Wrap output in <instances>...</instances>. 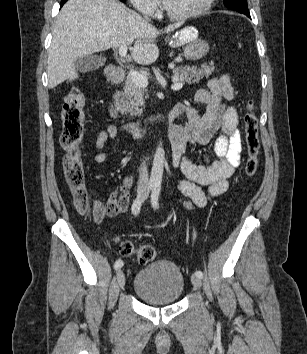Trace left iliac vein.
Returning a JSON list of instances; mask_svg holds the SVG:
<instances>
[{
	"label": "left iliac vein",
	"mask_w": 307,
	"mask_h": 354,
	"mask_svg": "<svg viewBox=\"0 0 307 354\" xmlns=\"http://www.w3.org/2000/svg\"><path fill=\"white\" fill-rule=\"evenodd\" d=\"M191 282L196 289H200L202 286L201 279L199 277H197L196 275L191 276Z\"/></svg>",
	"instance_id": "obj_1"
}]
</instances>
